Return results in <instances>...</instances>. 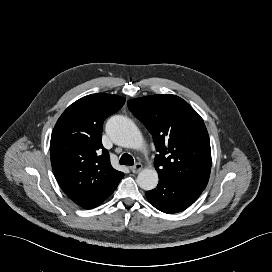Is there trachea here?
Masks as SVG:
<instances>
[{"instance_id": "1", "label": "trachea", "mask_w": 272, "mask_h": 272, "mask_svg": "<svg viewBox=\"0 0 272 272\" xmlns=\"http://www.w3.org/2000/svg\"><path fill=\"white\" fill-rule=\"evenodd\" d=\"M120 164L132 166L134 164V159L131 155L125 153L120 158Z\"/></svg>"}]
</instances>
